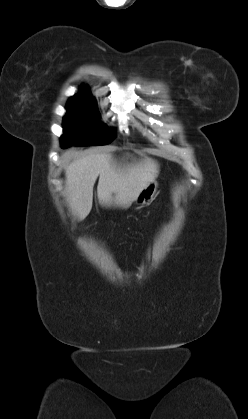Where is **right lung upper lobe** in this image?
I'll list each match as a JSON object with an SVG mask.
<instances>
[{
	"label": "right lung upper lobe",
	"instance_id": "obj_1",
	"mask_svg": "<svg viewBox=\"0 0 248 419\" xmlns=\"http://www.w3.org/2000/svg\"><path fill=\"white\" fill-rule=\"evenodd\" d=\"M72 98H80V99H85V100H89V101H94L95 102L93 96L90 94V92H89V90H88V88L86 86H83L80 89V92L77 95L73 96Z\"/></svg>",
	"mask_w": 248,
	"mask_h": 419
}]
</instances>
